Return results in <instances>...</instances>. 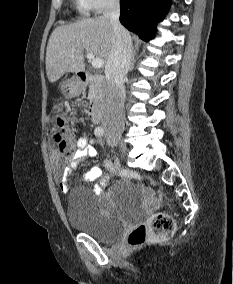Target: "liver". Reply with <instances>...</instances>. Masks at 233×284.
<instances>
[{
	"mask_svg": "<svg viewBox=\"0 0 233 284\" xmlns=\"http://www.w3.org/2000/svg\"><path fill=\"white\" fill-rule=\"evenodd\" d=\"M113 28L103 16L57 27L46 50V73L51 83L65 73L85 71L83 51L107 63L113 48Z\"/></svg>",
	"mask_w": 233,
	"mask_h": 284,
	"instance_id": "1",
	"label": "liver"
}]
</instances>
